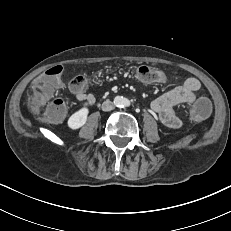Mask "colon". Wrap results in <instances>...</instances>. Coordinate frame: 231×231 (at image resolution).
Listing matches in <instances>:
<instances>
[{"label": "colon", "mask_w": 231, "mask_h": 231, "mask_svg": "<svg viewBox=\"0 0 231 231\" xmlns=\"http://www.w3.org/2000/svg\"><path fill=\"white\" fill-rule=\"evenodd\" d=\"M63 72V66L56 65L49 68L46 74L38 77L33 88L36 91L32 99L33 107L36 109L42 102L43 96H51L55 91L62 86L60 77ZM134 77L136 80L145 84L158 83L163 84L167 80V75L163 71L152 68L150 66H140L135 69ZM91 84V80L86 76H77L71 83L70 88L74 91H84ZM213 111V106L209 99L205 96H200L196 99L191 107V113L195 119L205 121L209 118ZM67 112V105L62 99L53 100L46 109L45 118L51 122H57L63 119Z\"/></svg>", "instance_id": "obj_1"}]
</instances>
